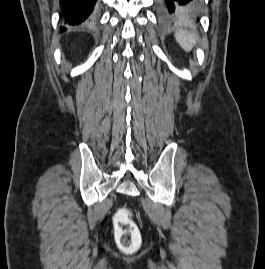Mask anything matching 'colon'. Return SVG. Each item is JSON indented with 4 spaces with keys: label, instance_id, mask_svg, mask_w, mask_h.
<instances>
[{
    "label": "colon",
    "instance_id": "colon-1",
    "mask_svg": "<svg viewBox=\"0 0 265 269\" xmlns=\"http://www.w3.org/2000/svg\"><path fill=\"white\" fill-rule=\"evenodd\" d=\"M116 235L118 242L123 247L134 245L139 237V230L131 219L130 212L126 209H120L115 216Z\"/></svg>",
    "mask_w": 265,
    "mask_h": 269
}]
</instances>
